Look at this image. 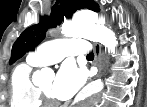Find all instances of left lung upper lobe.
<instances>
[{"mask_svg":"<svg viewBox=\"0 0 147 107\" xmlns=\"http://www.w3.org/2000/svg\"><path fill=\"white\" fill-rule=\"evenodd\" d=\"M60 3V6L57 5ZM53 6L50 17L40 19L36 25L24 30L12 47L9 64H13L27 51H32L45 38L48 28L60 25L64 18L72 17L80 9L99 11L98 5L93 0H57Z\"/></svg>","mask_w":147,"mask_h":107,"instance_id":"left-lung-upper-lobe-1","label":"left lung upper lobe"}]
</instances>
